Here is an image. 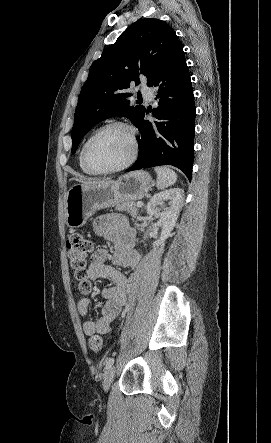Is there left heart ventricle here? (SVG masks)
Here are the masks:
<instances>
[{
	"mask_svg": "<svg viewBox=\"0 0 271 443\" xmlns=\"http://www.w3.org/2000/svg\"><path fill=\"white\" fill-rule=\"evenodd\" d=\"M131 152L128 132L113 127L102 132L89 148V159L96 167L111 168L123 163Z\"/></svg>",
	"mask_w": 271,
	"mask_h": 443,
	"instance_id": "b2bd125f",
	"label": "left heart ventricle"
}]
</instances>
